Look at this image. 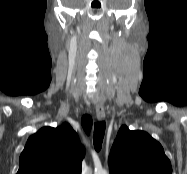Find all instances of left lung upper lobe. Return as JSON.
<instances>
[{"instance_id":"5c2ea615","label":"left lung upper lobe","mask_w":187,"mask_h":174,"mask_svg":"<svg viewBox=\"0 0 187 174\" xmlns=\"http://www.w3.org/2000/svg\"><path fill=\"white\" fill-rule=\"evenodd\" d=\"M111 174H172L160 143L143 131L122 126L110 151Z\"/></svg>"}]
</instances>
